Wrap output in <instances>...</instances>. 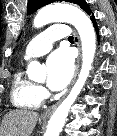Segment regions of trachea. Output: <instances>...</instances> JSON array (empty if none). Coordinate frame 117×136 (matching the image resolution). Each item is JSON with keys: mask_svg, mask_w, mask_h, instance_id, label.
Here are the masks:
<instances>
[{"mask_svg": "<svg viewBox=\"0 0 117 136\" xmlns=\"http://www.w3.org/2000/svg\"><path fill=\"white\" fill-rule=\"evenodd\" d=\"M68 40L73 41V37H72V36H69V37H68Z\"/></svg>", "mask_w": 117, "mask_h": 136, "instance_id": "trachea-1", "label": "trachea"}]
</instances>
